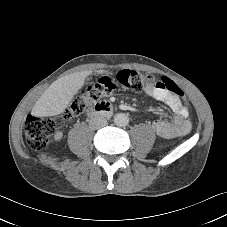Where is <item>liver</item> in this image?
Returning a JSON list of instances; mask_svg holds the SVG:
<instances>
[{
  "label": "liver",
  "mask_w": 227,
  "mask_h": 227,
  "mask_svg": "<svg viewBox=\"0 0 227 227\" xmlns=\"http://www.w3.org/2000/svg\"><path fill=\"white\" fill-rule=\"evenodd\" d=\"M96 72L103 73L104 71L97 70ZM90 74H92L90 70L82 71L54 81L35 103L32 115L50 117L63 113Z\"/></svg>",
  "instance_id": "obj_1"
}]
</instances>
